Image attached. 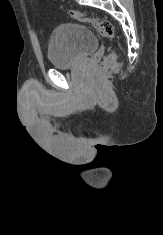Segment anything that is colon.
Wrapping results in <instances>:
<instances>
[{"label":"colon","instance_id":"5ec220e1","mask_svg":"<svg viewBox=\"0 0 163 235\" xmlns=\"http://www.w3.org/2000/svg\"><path fill=\"white\" fill-rule=\"evenodd\" d=\"M68 14L72 19L80 23L87 24L93 27L94 29L98 30L104 37L108 39H112L115 36L114 27L107 20L100 19L94 16H89V15L79 13L76 11H69ZM114 59H115V56L113 54L107 56L100 67V72L101 73L105 72L108 66L114 61Z\"/></svg>","mask_w":163,"mask_h":235}]
</instances>
